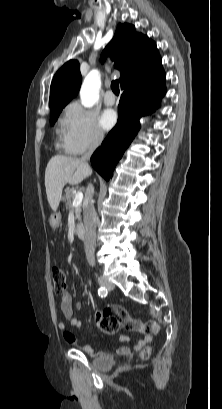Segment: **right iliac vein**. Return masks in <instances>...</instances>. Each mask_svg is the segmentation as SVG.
Here are the masks:
<instances>
[{"label":"right iliac vein","instance_id":"1","mask_svg":"<svg viewBox=\"0 0 222 409\" xmlns=\"http://www.w3.org/2000/svg\"><path fill=\"white\" fill-rule=\"evenodd\" d=\"M98 282L102 287L108 290H111L114 288V284L105 277H99Z\"/></svg>","mask_w":222,"mask_h":409}]
</instances>
